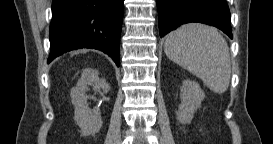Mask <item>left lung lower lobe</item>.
Instances as JSON below:
<instances>
[{
    "label": "left lung lower lobe",
    "mask_w": 273,
    "mask_h": 144,
    "mask_svg": "<svg viewBox=\"0 0 273 144\" xmlns=\"http://www.w3.org/2000/svg\"><path fill=\"white\" fill-rule=\"evenodd\" d=\"M157 6L161 37L182 24L200 22L233 38L226 0H157Z\"/></svg>",
    "instance_id": "obj_1"
}]
</instances>
